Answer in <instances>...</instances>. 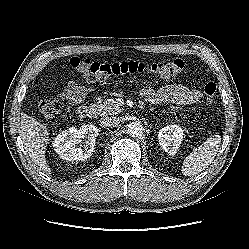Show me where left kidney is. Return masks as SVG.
Here are the masks:
<instances>
[{
    "mask_svg": "<svg viewBox=\"0 0 249 249\" xmlns=\"http://www.w3.org/2000/svg\"><path fill=\"white\" fill-rule=\"evenodd\" d=\"M183 139V130L178 125H168L158 134L159 144L169 155L176 154Z\"/></svg>",
    "mask_w": 249,
    "mask_h": 249,
    "instance_id": "1",
    "label": "left kidney"
}]
</instances>
